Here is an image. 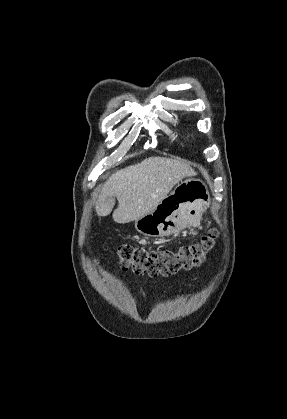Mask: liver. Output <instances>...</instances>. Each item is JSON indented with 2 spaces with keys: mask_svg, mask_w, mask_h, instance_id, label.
<instances>
[{
  "mask_svg": "<svg viewBox=\"0 0 287 419\" xmlns=\"http://www.w3.org/2000/svg\"><path fill=\"white\" fill-rule=\"evenodd\" d=\"M195 175L190 164L181 159L152 156L118 170L102 186L96 202L100 217L113 212L116 223H128L151 212L172 188L186 177Z\"/></svg>",
  "mask_w": 287,
  "mask_h": 419,
  "instance_id": "liver-1",
  "label": "liver"
}]
</instances>
